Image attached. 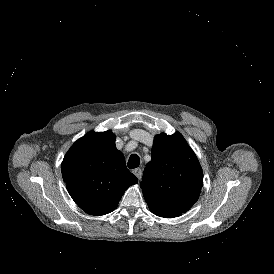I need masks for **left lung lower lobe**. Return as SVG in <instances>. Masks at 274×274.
<instances>
[{
  "label": "left lung lower lobe",
  "mask_w": 274,
  "mask_h": 274,
  "mask_svg": "<svg viewBox=\"0 0 274 274\" xmlns=\"http://www.w3.org/2000/svg\"><path fill=\"white\" fill-rule=\"evenodd\" d=\"M154 214L160 216V217H164V218H173V217H177L180 216L181 214L178 213H174V212H166V211H162V210H155L152 208H149Z\"/></svg>",
  "instance_id": "obj_1"
}]
</instances>
